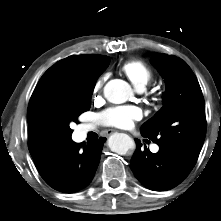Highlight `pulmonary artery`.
<instances>
[{"label":"pulmonary artery","instance_id":"obj_1","mask_svg":"<svg viewBox=\"0 0 221 221\" xmlns=\"http://www.w3.org/2000/svg\"><path fill=\"white\" fill-rule=\"evenodd\" d=\"M138 90L139 91H143V88H138ZM92 129V126L91 125H87V126H85V130H91ZM151 150H152V152H154V153H156V152H158L159 151V147H158V145H153L152 147H151Z\"/></svg>","mask_w":221,"mask_h":221}]
</instances>
